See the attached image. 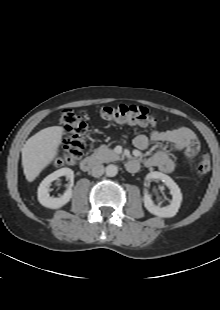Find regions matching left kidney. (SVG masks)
<instances>
[{"label": "left kidney", "mask_w": 220, "mask_h": 310, "mask_svg": "<svg viewBox=\"0 0 220 310\" xmlns=\"http://www.w3.org/2000/svg\"><path fill=\"white\" fill-rule=\"evenodd\" d=\"M146 179L161 180L170 189L172 200L170 202V205L166 207H159L154 205L150 195L148 194L147 191H145L143 198L145 208L150 213L158 217L170 218L175 216L182 202V193L178 185L168 175H165L157 171L150 172L149 174H147Z\"/></svg>", "instance_id": "5707ae66"}]
</instances>
